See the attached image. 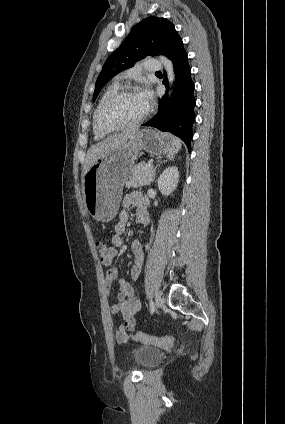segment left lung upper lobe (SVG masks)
Returning a JSON list of instances; mask_svg holds the SVG:
<instances>
[{
  "label": "left lung upper lobe",
  "instance_id": "left-lung-upper-lobe-1",
  "mask_svg": "<svg viewBox=\"0 0 285 424\" xmlns=\"http://www.w3.org/2000/svg\"><path fill=\"white\" fill-rule=\"evenodd\" d=\"M178 38L180 36L174 25L165 18L148 17L138 23L122 45L106 60L96 81L93 101L110 79L146 55L163 54L168 57Z\"/></svg>",
  "mask_w": 285,
  "mask_h": 424
}]
</instances>
